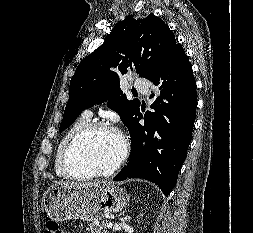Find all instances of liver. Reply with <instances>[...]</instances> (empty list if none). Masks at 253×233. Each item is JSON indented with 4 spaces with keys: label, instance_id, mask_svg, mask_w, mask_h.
Segmentation results:
<instances>
[{
    "label": "liver",
    "instance_id": "6515ba94",
    "mask_svg": "<svg viewBox=\"0 0 253 233\" xmlns=\"http://www.w3.org/2000/svg\"><path fill=\"white\" fill-rule=\"evenodd\" d=\"M56 184H62V185H67V186H71V187H75V188H83V187H88V186H98L100 185L99 182H88V183H74V182H63V181H56Z\"/></svg>",
    "mask_w": 253,
    "mask_h": 233
}]
</instances>
